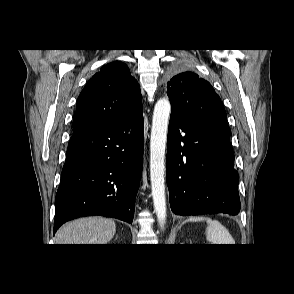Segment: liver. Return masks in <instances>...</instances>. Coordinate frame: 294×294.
I'll list each match as a JSON object with an SVG mask.
<instances>
[{"label": "liver", "instance_id": "6515ba94", "mask_svg": "<svg viewBox=\"0 0 294 294\" xmlns=\"http://www.w3.org/2000/svg\"><path fill=\"white\" fill-rule=\"evenodd\" d=\"M114 220L85 217L63 225L56 234V244H107L115 235Z\"/></svg>", "mask_w": 294, "mask_h": 294}]
</instances>
